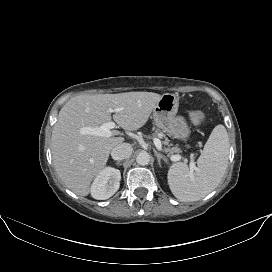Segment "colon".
<instances>
[{"label":"colon","mask_w":272,"mask_h":272,"mask_svg":"<svg viewBox=\"0 0 272 272\" xmlns=\"http://www.w3.org/2000/svg\"><path fill=\"white\" fill-rule=\"evenodd\" d=\"M190 121L195 125H200L205 120V115L201 111H192L189 114Z\"/></svg>","instance_id":"colon-1"}]
</instances>
